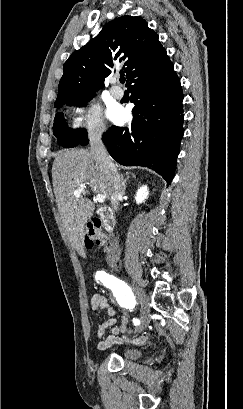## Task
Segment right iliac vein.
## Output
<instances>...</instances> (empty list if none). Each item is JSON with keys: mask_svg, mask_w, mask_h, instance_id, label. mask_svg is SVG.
Wrapping results in <instances>:
<instances>
[{"mask_svg": "<svg viewBox=\"0 0 243 409\" xmlns=\"http://www.w3.org/2000/svg\"><path fill=\"white\" fill-rule=\"evenodd\" d=\"M135 294L140 302L141 305V310H140V324L139 326L136 328V331L140 332L142 330H144L148 324H149V310H148V306H147V299L146 296L144 294V292L138 288V287H133Z\"/></svg>", "mask_w": 243, "mask_h": 409, "instance_id": "right-iliac-vein-1", "label": "right iliac vein"}]
</instances>
